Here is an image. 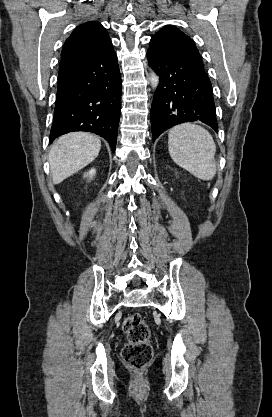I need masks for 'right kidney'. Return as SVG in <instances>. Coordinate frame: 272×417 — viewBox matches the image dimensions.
<instances>
[{"label": "right kidney", "mask_w": 272, "mask_h": 417, "mask_svg": "<svg viewBox=\"0 0 272 417\" xmlns=\"http://www.w3.org/2000/svg\"><path fill=\"white\" fill-rule=\"evenodd\" d=\"M95 174H96V170L95 169H90L89 172L84 174V177H89L90 179H92Z\"/></svg>", "instance_id": "ca27d5eb"}]
</instances>
